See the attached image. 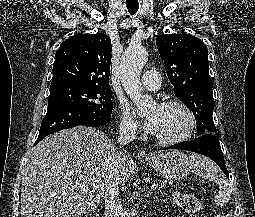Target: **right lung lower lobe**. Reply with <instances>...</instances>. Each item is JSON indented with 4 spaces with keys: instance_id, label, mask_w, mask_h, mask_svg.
<instances>
[{
    "instance_id": "obj_1",
    "label": "right lung lower lobe",
    "mask_w": 255,
    "mask_h": 217,
    "mask_svg": "<svg viewBox=\"0 0 255 217\" xmlns=\"http://www.w3.org/2000/svg\"><path fill=\"white\" fill-rule=\"evenodd\" d=\"M110 119L111 115H100L71 104H52L48 106L47 114L42 121L35 144L57 131L78 125H86L90 127L102 126L108 123Z\"/></svg>"
}]
</instances>
